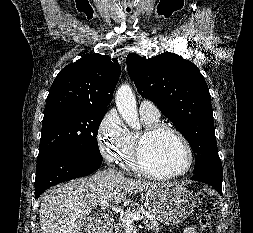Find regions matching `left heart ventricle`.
Segmentation results:
<instances>
[{
	"label": "left heart ventricle",
	"mask_w": 253,
	"mask_h": 233,
	"mask_svg": "<svg viewBox=\"0 0 253 233\" xmlns=\"http://www.w3.org/2000/svg\"><path fill=\"white\" fill-rule=\"evenodd\" d=\"M144 161L154 172H178L187 164V152L176 136L162 132L148 142Z\"/></svg>",
	"instance_id": "b2bd125f"
}]
</instances>
